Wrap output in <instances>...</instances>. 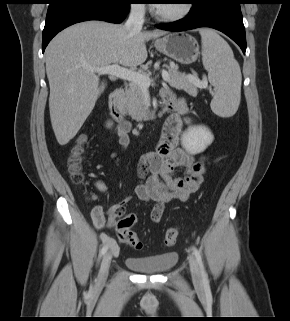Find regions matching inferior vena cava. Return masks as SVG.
I'll use <instances>...</instances> for the list:
<instances>
[{"label":"inferior vena cava","mask_w":290,"mask_h":321,"mask_svg":"<svg viewBox=\"0 0 290 321\" xmlns=\"http://www.w3.org/2000/svg\"><path fill=\"white\" fill-rule=\"evenodd\" d=\"M145 16V6L143 4H134L131 6V11L128 20L124 27L129 32L141 31Z\"/></svg>","instance_id":"602c4592"}]
</instances>
